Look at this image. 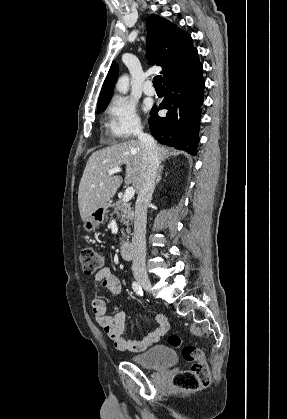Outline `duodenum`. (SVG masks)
Segmentation results:
<instances>
[{
    "label": "duodenum",
    "mask_w": 287,
    "mask_h": 419,
    "mask_svg": "<svg viewBox=\"0 0 287 419\" xmlns=\"http://www.w3.org/2000/svg\"><path fill=\"white\" fill-rule=\"evenodd\" d=\"M120 254L123 259L131 260L134 257V245L130 241H124L120 247Z\"/></svg>",
    "instance_id": "duodenum-1"
}]
</instances>
